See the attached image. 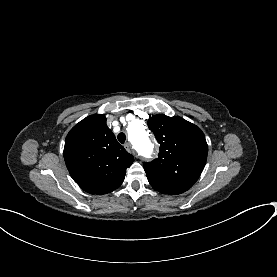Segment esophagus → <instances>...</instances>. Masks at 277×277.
<instances>
[{"mask_svg":"<svg viewBox=\"0 0 277 277\" xmlns=\"http://www.w3.org/2000/svg\"><path fill=\"white\" fill-rule=\"evenodd\" d=\"M125 149H126L128 152H131V145H130L129 142H127V143L125 144Z\"/></svg>","mask_w":277,"mask_h":277,"instance_id":"1","label":"esophagus"}]
</instances>
